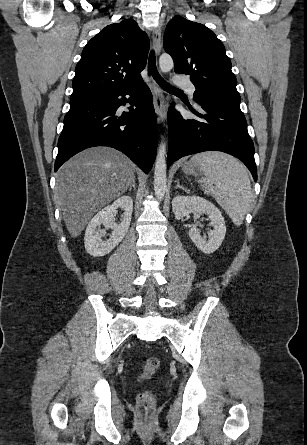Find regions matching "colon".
I'll return each mask as SVG.
<instances>
[{"mask_svg":"<svg viewBox=\"0 0 307 445\" xmlns=\"http://www.w3.org/2000/svg\"><path fill=\"white\" fill-rule=\"evenodd\" d=\"M160 361L156 357L148 358L141 369V378L149 379L159 368ZM137 402L143 410H149L153 407L155 399L151 392L145 391L138 395Z\"/></svg>","mask_w":307,"mask_h":445,"instance_id":"obj_1","label":"colon"}]
</instances>
